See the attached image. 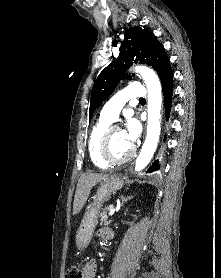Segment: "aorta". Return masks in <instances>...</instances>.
Here are the masks:
<instances>
[{
	"instance_id": "1",
	"label": "aorta",
	"mask_w": 221,
	"mask_h": 278,
	"mask_svg": "<svg viewBox=\"0 0 221 278\" xmlns=\"http://www.w3.org/2000/svg\"><path fill=\"white\" fill-rule=\"evenodd\" d=\"M134 71L142 76L148 90L147 134L135 163V171L139 172L149 164L157 148L161 131L162 89L157 74L151 68L139 65Z\"/></svg>"
}]
</instances>
